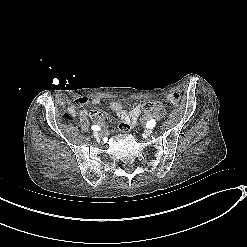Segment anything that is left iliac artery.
I'll use <instances>...</instances> for the list:
<instances>
[{
    "label": "left iliac artery",
    "mask_w": 247,
    "mask_h": 247,
    "mask_svg": "<svg viewBox=\"0 0 247 247\" xmlns=\"http://www.w3.org/2000/svg\"><path fill=\"white\" fill-rule=\"evenodd\" d=\"M155 124H156V121H155L154 119H152V120H150V121L148 122V127H149V128H153V127L155 126Z\"/></svg>",
    "instance_id": "obj_1"
}]
</instances>
